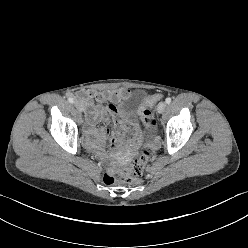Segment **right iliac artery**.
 Wrapping results in <instances>:
<instances>
[{"instance_id": "obj_1", "label": "right iliac artery", "mask_w": 248, "mask_h": 248, "mask_svg": "<svg viewBox=\"0 0 248 248\" xmlns=\"http://www.w3.org/2000/svg\"><path fill=\"white\" fill-rule=\"evenodd\" d=\"M68 101H69V103H74V99L71 97L68 99Z\"/></svg>"}]
</instances>
